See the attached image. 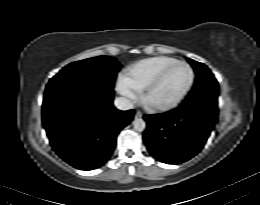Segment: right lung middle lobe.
Masks as SVG:
<instances>
[{"label": "right lung middle lobe", "mask_w": 260, "mask_h": 205, "mask_svg": "<svg viewBox=\"0 0 260 205\" xmlns=\"http://www.w3.org/2000/svg\"><path fill=\"white\" fill-rule=\"evenodd\" d=\"M121 65L113 58L98 56L73 62L64 67L52 79L64 77L96 79L114 85L117 72Z\"/></svg>", "instance_id": "dd1d6c3e"}]
</instances>
